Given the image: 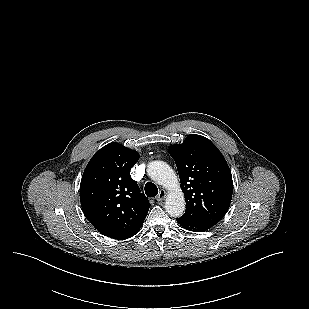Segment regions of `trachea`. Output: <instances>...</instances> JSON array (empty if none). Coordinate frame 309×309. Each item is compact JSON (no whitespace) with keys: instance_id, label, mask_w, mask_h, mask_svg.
<instances>
[{"instance_id":"3493384b","label":"trachea","mask_w":309,"mask_h":309,"mask_svg":"<svg viewBox=\"0 0 309 309\" xmlns=\"http://www.w3.org/2000/svg\"><path fill=\"white\" fill-rule=\"evenodd\" d=\"M145 193L148 197H154L158 194V188L152 182H147L145 184Z\"/></svg>"}]
</instances>
